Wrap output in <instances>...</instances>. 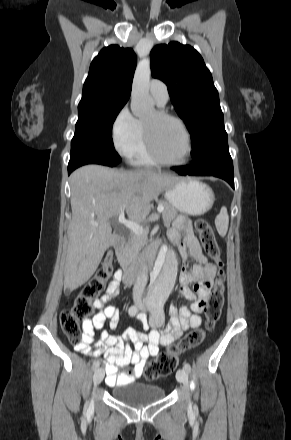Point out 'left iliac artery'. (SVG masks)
<instances>
[{"label": "left iliac artery", "instance_id": "44dca946", "mask_svg": "<svg viewBox=\"0 0 291 440\" xmlns=\"http://www.w3.org/2000/svg\"><path fill=\"white\" fill-rule=\"evenodd\" d=\"M158 323H162V320L160 318L157 319ZM184 369L187 370L188 372L191 371V366L189 363H184Z\"/></svg>", "mask_w": 291, "mask_h": 440}]
</instances>
